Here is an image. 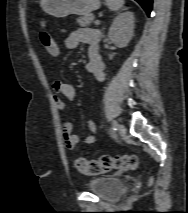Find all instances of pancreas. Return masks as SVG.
<instances>
[{"label":"pancreas","mask_w":188,"mask_h":213,"mask_svg":"<svg viewBox=\"0 0 188 213\" xmlns=\"http://www.w3.org/2000/svg\"><path fill=\"white\" fill-rule=\"evenodd\" d=\"M77 23L81 27L91 26L92 23H94V15L89 14V15L82 16L77 19Z\"/></svg>","instance_id":"obj_1"}]
</instances>
